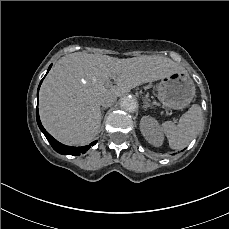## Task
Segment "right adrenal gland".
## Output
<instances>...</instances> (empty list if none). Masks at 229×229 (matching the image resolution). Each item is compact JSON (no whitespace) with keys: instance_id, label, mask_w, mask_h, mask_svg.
Wrapping results in <instances>:
<instances>
[{"instance_id":"right-adrenal-gland-1","label":"right adrenal gland","mask_w":229,"mask_h":229,"mask_svg":"<svg viewBox=\"0 0 229 229\" xmlns=\"http://www.w3.org/2000/svg\"><path fill=\"white\" fill-rule=\"evenodd\" d=\"M106 107H102L101 108V115H102V118H103V116H104V109H105Z\"/></svg>"}]
</instances>
